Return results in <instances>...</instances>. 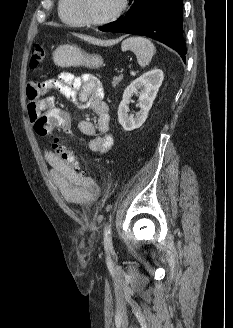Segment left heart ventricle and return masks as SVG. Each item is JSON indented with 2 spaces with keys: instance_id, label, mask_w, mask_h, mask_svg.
Here are the masks:
<instances>
[{
  "instance_id": "1",
  "label": "left heart ventricle",
  "mask_w": 233,
  "mask_h": 328,
  "mask_svg": "<svg viewBox=\"0 0 233 328\" xmlns=\"http://www.w3.org/2000/svg\"><path fill=\"white\" fill-rule=\"evenodd\" d=\"M120 0H83L85 15L93 20H101L112 15Z\"/></svg>"
}]
</instances>
